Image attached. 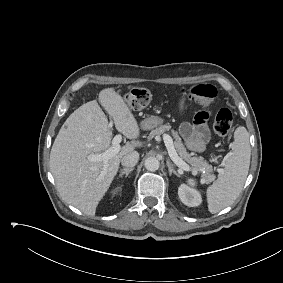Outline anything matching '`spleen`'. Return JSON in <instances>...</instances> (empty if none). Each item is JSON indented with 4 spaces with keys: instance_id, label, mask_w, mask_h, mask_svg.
<instances>
[{
    "instance_id": "obj_1",
    "label": "spleen",
    "mask_w": 283,
    "mask_h": 283,
    "mask_svg": "<svg viewBox=\"0 0 283 283\" xmlns=\"http://www.w3.org/2000/svg\"><path fill=\"white\" fill-rule=\"evenodd\" d=\"M232 151L222 161L218 179L207 189L208 210L215 214L231 205L239 196L250 166L251 149L249 134L245 127L240 126L234 132ZM191 186L193 179L187 180Z\"/></svg>"
}]
</instances>
